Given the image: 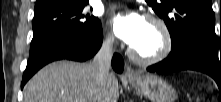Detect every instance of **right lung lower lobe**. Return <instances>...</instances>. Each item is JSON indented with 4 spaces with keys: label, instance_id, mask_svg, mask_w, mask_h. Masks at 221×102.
<instances>
[{
    "label": "right lung lower lobe",
    "instance_id": "1",
    "mask_svg": "<svg viewBox=\"0 0 221 102\" xmlns=\"http://www.w3.org/2000/svg\"><path fill=\"white\" fill-rule=\"evenodd\" d=\"M103 41L102 26L88 35L66 34L58 36L30 53L27 67L24 71L21 88L44 65L61 59L86 61L96 54ZM114 70L121 73L124 68L123 59L119 54L112 58Z\"/></svg>",
    "mask_w": 221,
    "mask_h": 102
}]
</instances>
